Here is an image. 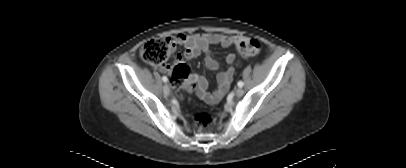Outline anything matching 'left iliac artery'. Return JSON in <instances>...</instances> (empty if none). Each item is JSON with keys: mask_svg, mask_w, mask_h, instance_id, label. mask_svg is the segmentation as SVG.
<instances>
[{"mask_svg": "<svg viewBox=\"0 0 406 168\" xmlns=\"http://www.w3.org/2000/svg\"><path fill=\"white\" fill-rule=\"evenodd\" d=\"M238 86H239V87H243V86H244V83H243L242 81H239V82H238Z\"/></svg>", "mask_w": 406, "mask_h": 168, "instance_id": "44dca946", "label": "left iliac artery"}]
</instances>
